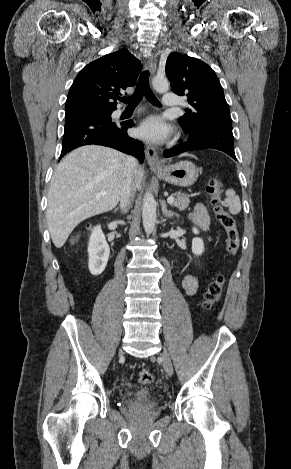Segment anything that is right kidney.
Returning <instances> with one entry per match:
<instances>
[{
  "label": "right kidney",
  "instance_id": "right-kidney-1",
  "mask_svg": "<svg viewBox=\"0 0 291 469\" xmlns=\"http://www.w3.org/2000/svg\"><path fill=\"white\" fill-rule=\"evenodd\" d=\"M88 255L90 273L94 276L100 275L106 268L110 255V248L100 225L92 230L88 243Z\"/></svg>",
  "mask_w": 291,
  "mask_h": 469
}]
</instances>
